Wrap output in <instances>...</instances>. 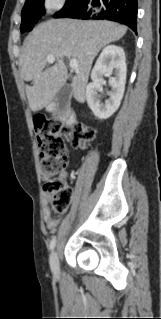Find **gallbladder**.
<instances>
[{
  "label": "gallbladder",
  "mask_w": 161,
  "mask_h": 319,
  "mask_svg": "<svg viewBox=\"0 0 161 319\" xmlns=\"http://www.w3.org/2000/svg\"><path fill=\"white\" fill-rule=\"evenodd\" d=\"M71 87L70 85H64L58 92L56 102V113L57 115H63L66 111L67 105L71 98Z\"/></svg>",
  "instance_id": "1"
}]
</instances>
